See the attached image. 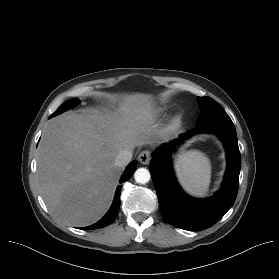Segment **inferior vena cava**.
Listing matches in <instances>:
<instances>
[{
  "mask_svg": "<svg viewBox=\"0 0 279 279\" xmlns=\"http://www.w3.org/2000/svg\"><path fill=\"white\" fill-rule=\"evenodd\" d=\"M132 152L131 151H128V150H124V151H121L116 159H115V165L117 167H125L126 165H128L132 159Z\"/></svg>",
  "mask_w": 279,
  "mask_h": 279,
  "instance_id": "inferior-vena-cava-1",
  "label": "inferior vena cava"
}]
</instances>
